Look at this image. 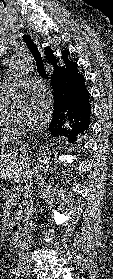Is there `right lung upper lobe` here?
<instances>
[{"mask_svg":"<svg viewBox=\"0 0 113 279\" xmlns=\"http://www.w3.org/2000/svg\"><path fill=\"white\" fill-rule=\"evenodd\" d=\"M68 54H69V51L68 50H63L62 51V58L64 59L65 61V64H66V68L65 67H58L56 65L57 63V59L55 58V56L53 55L52 53V49L51 48H45V55H46V59L49 63L53 64L54 66V72H53V75H59V74H62L64 72H67L69 70H71L72 68L76 67L77 64L74 63V62H71L68 60Z\"/></svg>","mask_w":113,"mask_h":279,"instance_id":"cb5924a9","label":"right lung upper lobe"}]
</instances>
